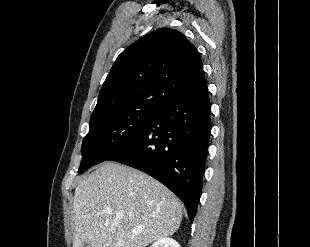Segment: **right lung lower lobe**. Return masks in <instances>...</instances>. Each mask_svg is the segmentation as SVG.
Here are the masks:
<instances>
[{"label":"right lung lower lobe","mask_w":310,"mask_h":247,"mask_svg":"<svg viewBox=\"0 0 310 247\" xmlns=\"http://www.w3.org/2000/svg\"><path fill=\"white\" fill-rule=\"evenodd\" d=\"M210 132L206 84L161 107L107 161L136 168L160 181L182 200L193 222L202 192Z\"/></svg>","instance_id":"1"}]
</instances>
